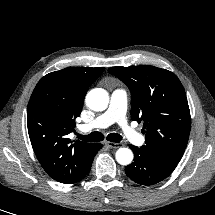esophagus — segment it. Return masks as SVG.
<instances>
[{"instance_id":"obj_1","label":"esophagus","mask_w":215,"mask_h":215,"mask_svg":"<svg viewBox=\"0 0 215 215\" xmlns=\"http://www.w3.org/2000/svg\"><path fill=\"white\" fill-rule=\"evenodd\" d=\"M105 145L112 148V149H117V148H120L123 146L122 143H114V142H109V141H106Z\"/></svg>"}]
</instances>
